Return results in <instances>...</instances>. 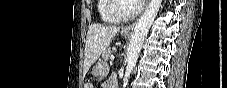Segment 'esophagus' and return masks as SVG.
I'll list each match as a JSON object with an SVG mask.
<instances>
[{
	"mask_svg": "<svg viewBox=\"0 0 227 88\" xmlns=\"http://www.w3.org/2000/svg\"><path fill=\"white\" fill-rule=\"evenodd\" d=\"M134 27V24L128 25L126 27L123 28L124 31L130 32Z\"/></svg>",
	"mask_w": 227,
	"mask_h": 88,
	"instance_id": "obj_1",
	"label": "esophagus"
}]
</instances>
